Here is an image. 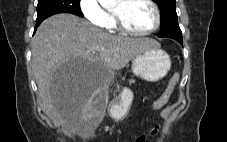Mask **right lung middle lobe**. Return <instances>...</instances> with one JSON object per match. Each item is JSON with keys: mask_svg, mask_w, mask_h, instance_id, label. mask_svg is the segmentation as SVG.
Wrapping results in <instances>:
<instances>
[{"mask_svg": "<svg viewBox=\"0 0 227 142\" xmlns=\"http://www.w3.org/2000/svg\"><path fill=\"white\" fill-rule=\"evenodd\" d=\"M37 20H44L57 13H71L83 17L80 0H38Z\"/></svg>", "mask_w": 227, "mask_h": 142, "instance_id": "obj_1", "label": "right lung middle lobe"}]
</instances>
